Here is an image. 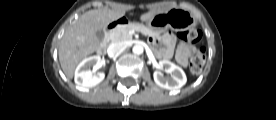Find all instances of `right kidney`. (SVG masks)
Returning <instances> with one entry per match:
<instances>
[{
  "instance_id": "ca27d5eb",
  "label": "right kidney",
  "mask_w": 276,
  "mask_h": 120,
  "mask_svg": "<svg viewBox=\"0 0 276 120\" xmlns=\"http://www.w3.org/2000/svg\"><path fill=\"white\" fill-rule=\"evenodd\" d=\"M101 61L100 56H91L85 58L75 70V83L83 89L92 88L103 81L105 74L103 72L95 73L91 68H95Z\"/></svg>"
}]
</instances>
